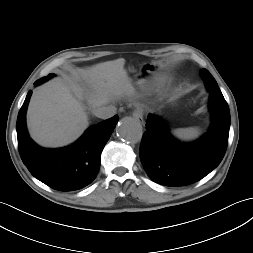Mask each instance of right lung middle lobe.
Segmentation results:
<instances>
[{"label": "right lung middle lobe", "instance_id": "dd1d6c3e", "mask_svg": "<svg viewBox=\"0 0 253 253\" xmlns=\"http://www.w3.org/2000/svg\"><path fill=\"white\" fill-rule=\"evenodd\" d=\"M52 76H53V74H49L48 76L43 77L42 81H46V80H48L49 78H51Z\"/></svg>", "mask_w": 253, "mask_h": 253}]
</instances>
